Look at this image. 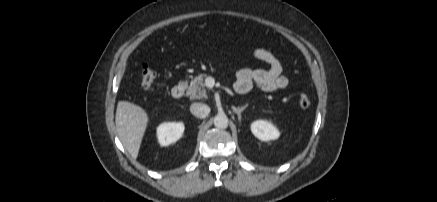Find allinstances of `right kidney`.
<instances>
[{
	"instance_id": "1",
	"label": "right kidney",
	"mask_w": 437,
	"mask_h": 202,
	"mask_svg": "<svg viewBox=\"0 0 437 202\" xmlns=\"http://www.w3.org/2000/svg\"><path fill=\"white\" fill-rule=\"evenodd\" d=\"M182 122H166L157 127V138L161 146H168L178 141L184 132Z\"/></svg>"
}]
</instances>
